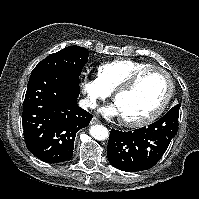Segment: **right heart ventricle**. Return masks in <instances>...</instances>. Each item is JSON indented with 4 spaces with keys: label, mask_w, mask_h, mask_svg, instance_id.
<instances>
[{
    "label": "right heart ventricle",
    "mask_w": 199,
    "mask_h": 199,
    "mask_svg": "<svg viewBox=\"0 0 199 199\" xmlns=\"http://www.w3.org/2000/svg\"><path fill=\"white\" fill-rule=\"evenodd\" d=\"M149 66L148 63L117 59L100 65L97 69V78L105 89L111 93L120 86L133 72Z\"/></svg>",
    "instance_id": "e07e8e85"
}]
</instances>
